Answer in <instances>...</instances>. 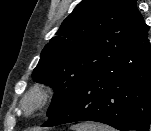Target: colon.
Returning <instances> with one entry per match:
<instances>
[{"instance_id":"1","label":"colon","mask_w":151,"mask_h":131,"mask_svg":"<svg viewBox=\"0 0 151 131\" xmlns=\"http://www.w3.org/2000/svg\"><path fill=\"white\" fill-rule=\"evenodd\" d=\"M29 131H39V130H37V129H32V130H29Z\"/></svg>"}]
</instances>
